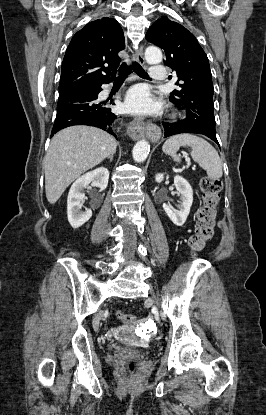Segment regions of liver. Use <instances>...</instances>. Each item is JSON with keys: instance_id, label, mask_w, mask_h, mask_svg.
<instances>
[{"instance_id": "obj_1", "label": "liver", "mask_w": 266, "mask_h": 415, "mask_svg": "<svg viewBox=\"0 0 266 415\" xmlns=\"http://www.w3.org/2000/svg\"><path fill=\"white\" fill-rule=\"evenodd\" d=\"M117 142L107 132L89 126H72L51 140L44 158L45 192L50 204L85 171L116 152Z\"/></svg>"}]
</instances>
